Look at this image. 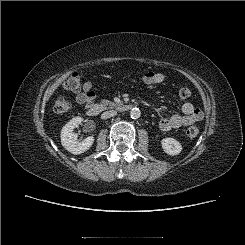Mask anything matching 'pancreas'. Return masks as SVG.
Instances as JSON below:
<instances>
[{"mask_svg": "<svg viewBox=\"0 0 245 245\" xmlns=\"http://www.w3.org/2000/svg\"><path fill=\"white\" fill-rule=\"evenodd\" d=\"M104 108H114L116 106V104L114 102H111L109 100H106V99H103L101 100V103H100Z\"/></svg>", "mask_w": 245, "mask_h": 245, "instance_id": "pancreas-1", "label": "pancreas"}]
</instances>
